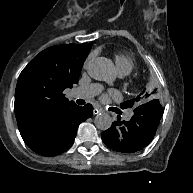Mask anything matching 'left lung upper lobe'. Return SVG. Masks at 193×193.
I'll use <instances>...</instances> for the list:
<instances>
[{"instance_id":"left-lung-upper-lobe-1","label":"left lung upper lobe","mask_w":193,"mask_h":193,"mask_svg":"<svg viewBox=\"0 0 193 193\" xmlns=\"http://www.w3.org/2000/svg\"><path fill=\"white\" fill-rule=\"evenodd\" d=\"M155 91L151 92V94H148L147 92L145 93V90L139 95L137 96L135 99L133 100H130V101H126L124 103H122L121 105L123 106H126V107H132L133 105H136V104H139L141 102V99L142 98H149L152 96V94L154 93ZM143 94H144V97H143ZM156 100V99H154ZM152 100V101H154ZM144 101V100H143ZM158 101V100H157ZM151 102V101H150ZM159 102V101H158Z\"/></svg>"}]
</instances>
